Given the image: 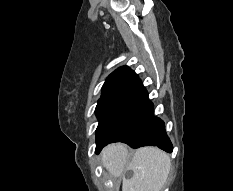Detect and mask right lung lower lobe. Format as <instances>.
Wrapping results in <instances>:
<instances>
[{"label": "right lung lower lobe", "instance_id": "1", "mask_svg": "<svg viewBox=\"0 0 233 191\" xmlns=\"http://www.w3.org/2000/svg\"><path fill=\"white\" fill-rule=\"evenodd\" d=\"M127 105L115 122L96 141V152L111 142H124L132 148L158 146L166 152H172L164 122L153 115V103L139 79L127 92Z\"/></svg>", "mask_w": 233, "mask_h": 191}]
</instances>
